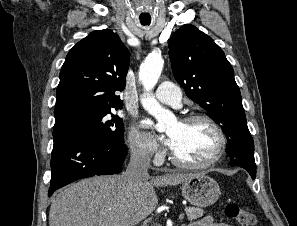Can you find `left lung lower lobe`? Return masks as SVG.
I'll return each instance as SVG.
<instances>
[{"mask_svg": "<svg viewBox=\"0 0 297 226\" xmlns=\"http://www.w3.org/2000/svg\"><path fill=\"white\" fill-rule=\"evenodd\" d=\"M229 165L244 168L247 172H249L252 179L256 178V164L253 158L233 159Z\"/></svg>", "mask_w": 297, "mask_h": 226, "instance_id": "left-lung-lower-lobe-1", "label": "left lung lower lobe"}]
</instances>
